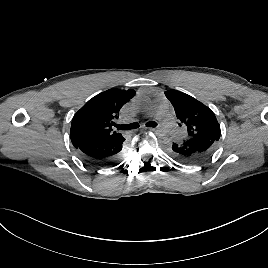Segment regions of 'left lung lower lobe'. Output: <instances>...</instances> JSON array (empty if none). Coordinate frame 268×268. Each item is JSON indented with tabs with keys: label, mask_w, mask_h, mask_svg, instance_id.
Wrapping results in <instances>:
<instances>
[{
	"label": "left lung lower lobe",
	"mask_w": 268,
	"mask_h": 268,
	"mask_svg": "<svg viewBox=\"0 0 268 268\" xmlns=\"http://www.w3.org/2000/svg\"><path fill=\"white\" fill-rule=\"evenodd\" d=\"M217 142L210 137H187L171 141L166 145L167 153L183 164H197L208 159L214 152Z\"/></svg>",
	"instance_id": "left-lung-lower-lobe-1"
}]
</instances>
